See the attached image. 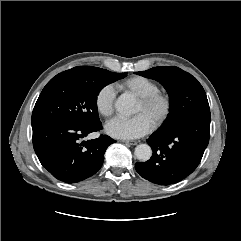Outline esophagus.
Instances as JSON below:
<instances>
[{
  "label": "esophagus",
  "instance_id": "obj_1",
  "mask_svg": "<svg viewBox=\"0 0 241 241\" xmlns=\"http://www.w3.org/2000/svg\"><path fill=\"white\" fill-rule=\"evenodd\" d=\"M123 142L126 143V144H128V145H133V146H134V145H137V143H138L137 141H134V140H130V141H129V140H126V141H123Z\"/></svg>",
  "mask_w": 241,
  "mask_h": 241
}]
</instances>
